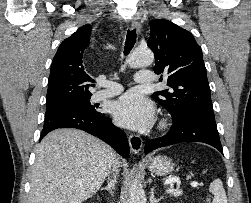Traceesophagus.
I'll return each instance as SVG.
<instances>
[{
	"label": "esophagus",
	"instance_id": "34e87169",
	"mask_svg": "<svg viewBox=\"0 0 251 203\" xmlns=\"http://www.w3.org/2000/svg\"><path fill=\"white\" fill-rule=\"evenodd\" d=\"M132 29H136L137 31L140 30V24L137 20H133L132 24H131ZM129 140V145H130V149L134 154H137L141 151L143 142L142 139L140 138V136L135 135V134H131L128 137Z\"/></svg>",
	"mask_w": 251,
	"mask_h": 203
}]
</instances>
